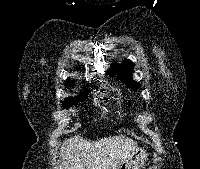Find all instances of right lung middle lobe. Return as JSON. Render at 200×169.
Here are the masks:
<instances>
[{
	"instance_id": "1",
	"label": "right lung middle lobe",
	"mask_w": 200,
	"mask_h": 169,
	"mask_svg": "<svg viewBox=\"0 0 200 169\" xmlns=\"http://www.w3.org/2000/svg\"><path fill=\"white\" fill-rule=\"evenodd\" d=\"M86 96H87V94L79 96L77 99L76 98L68 99L63 105L66 107V106H69V105H72V104H76L78 101H81Z\"/></svg>"
}]
</instances>
